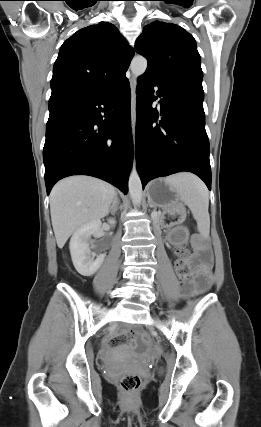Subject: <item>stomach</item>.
Returning a JSON list of instances; mask_svg holds the SVG:
<instances>
[{
  "label": "stomach",
  "mask_w": 261,
  "mask_h": 427,
  "mask_svg": "<svg viewBox=\"0 0 261 427\" xmlns=\"http://www.w3.org/2000/svg\"><path fill=\"white\" fill-rule=\"evenodd\" d=\"M147 196L150 204L170 214L184 212L177 190L166 179L152 181L147 188Z\"/></svg>",
  "instance_id": "0dacf381"
}]
</instances>
